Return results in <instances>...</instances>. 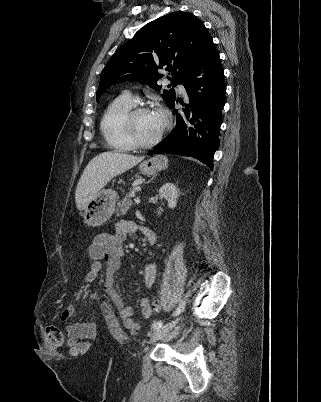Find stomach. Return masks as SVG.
Returning a JSON list of instances; mask_svg holds the SVG:
<instances>
[{"label": "stomach", "mask_w": 321, "mask_h": 402, "mask_svg": "<svg viewBox=\"0 0 321 402\" xmlns=\"http://www.w3.org/2000/svg\"><path fill=\"white\" fill-rule=\"evenodd\" d=\"M167 163L165 156L156 155L143 161L139 169L142 174L153 175L165 169ZM117 198V193L111 189L98 191L84 208V222L92 227L103 225L113 215Z\"/></svg>", "instance_id": "obj_1"}]
</instances>
